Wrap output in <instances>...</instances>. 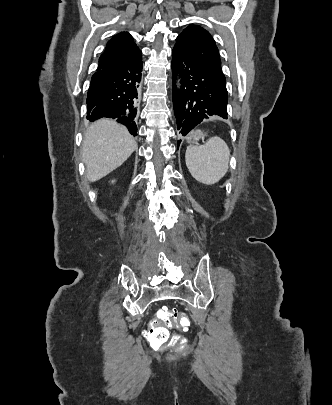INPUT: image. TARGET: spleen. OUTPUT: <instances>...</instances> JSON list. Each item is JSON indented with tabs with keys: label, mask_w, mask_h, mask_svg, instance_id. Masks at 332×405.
Wrapping results in <instances>:
<instances>
[{
	"label": "spleen",
	"mask_w": 332,
	"mask_h": 405,
	"mask_svg": "<svg viewBox=\"0 0 332 405\" xmlns=\"http://www.w3.org/2000/svg\"><path fill=\"white\" fill-rule=\"evenodd\" d=\"M230 150L224 140L215 136L203 145L187 147L185 161L193 178L203 184L219 182L229 168Z\"/></svg>",
	"instance_id": "3e777b00"
}]
</instances>
